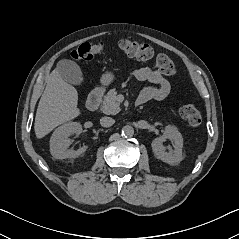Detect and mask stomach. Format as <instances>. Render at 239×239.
<instances>
[{
  "instance_id": "obj_1",
  "label": "stomach",
  "mask_w": 239,
  "mask_h": 239,
  "mask_svg": "<svg viewBox=\"0 0 239 239\" xmlns=\"http://www.w3.org/2000/svg\"><path fill=\"white\" fill-rule=\"evenodd\" d=\"M113 79L114 75L111 72H107L101 77V83L103 85H109L113 81Z\"/></svg>"
}]
</instances>
